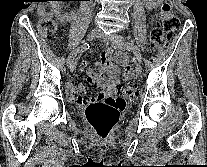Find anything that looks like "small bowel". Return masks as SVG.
<instances>
[{
	"instance_id": "1",
	"label": "small bowel",
	"mask_w": 207,
	"mask_h": 167,
	"mask_svg": "<svg viewBox=\"0 0 207 167\" xmlns=\"http://www.w3.org/2000/svg\"><path fill=\"white\" fill-rule=\"evenodd\" d=\"M149 2H156L157 0H148ZM121 54H117L118 56ZM102 65L98 68H91L88 71L89 81L90 83L96 85L101 89V94L94 97H87L85 95V89L82 85L75 86L73 83L68 81L65 85L67 98L70 102L78 105V106H87L105 95H114L116 92L117 84L119 81V70L117 66L113 62V57L111 50H106L101 55ZM119 60V59H118ZM120 62V61H119ZM124 66L123 70V78L129 79L132 76V69L128 65L127 59L123 62H120ZM108 72V78L104 77V70Z\"/></svg>"
}]
</instances>
